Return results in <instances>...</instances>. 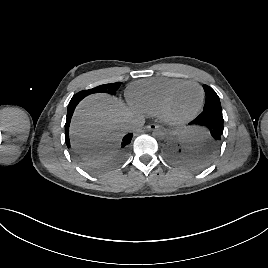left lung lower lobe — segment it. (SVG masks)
Instances as JSON below:
<instances>
[{
  "instance_id": "left-lung-lower-lobe-1",
  "label": "left lung lower lobe",
  "mask_w": 268,
  "mask_h": 268,
  "mask_svg": "<svg viewBox=\"0 0 268 268\" xmlns=\"http://www.w3.org/2000/svg\"><path fill=\"white\" fill-rule=\"evenodd\" d=\"M202 122L207 129L208 133V141L210 142L211 148L215 150L221 142L223 135V116L222 110H205L198 117H196L190 124L193 122ZM186 129H184L181 133V140L184 144L190 145L184 137ZM172 158L176 159V155L170 151Z\"/></svg>"
}]
</instances>
